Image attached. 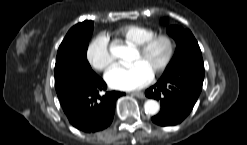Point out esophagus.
<instances>
[{
    "mask_svg": "<svg viewBox=\"0 0 247 145\" xmlns=\"http://www.w3.org/2000/svg\"><path fill=\"white\" fill-rule=\"evenodd\" d=\"M132 95L136 96L137 98L144 99L145 95L141 91L133 92Z\"/></svg>",
    "mask_w": 247,
    "mask_h": 145,
    "instance_id": "34e87169",
    "label": "esophagus"
}]
</instances>
